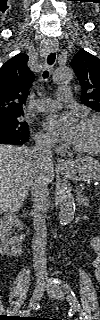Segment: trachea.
<instances>
[{"instance_id":"1","label":"trachea","mask_w":100,"mask_h":320,"mask_svg":"<svg viewBox=\"0 0 100 320\" xmlns=\"http://www.w3.org/2000/svg\"><path fill=\"white\" fill-rule=\"evenodd\" d=\"M55 58H56V54L55 53H50L48 58H47V63L49 65H52L54 63V61H55ZM47 77H48V71H45L43 73V78H47Z\"/></svg>"}]
</instances>
